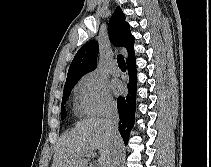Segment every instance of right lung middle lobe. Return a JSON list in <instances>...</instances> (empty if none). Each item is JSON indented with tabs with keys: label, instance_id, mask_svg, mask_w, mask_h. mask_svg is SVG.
Returning <instances> with one entry per match:
<instances>
[{
	"label": "right lung middle lobe",
	"instance_id": "obj_1",
	"mask_svg": "<svg viewBox=\"0 0 211 167\" xmlns=\"http://www.w3.org/2000/svg\"><path fill=\"white\" fill-rule=\"evenodd\" d=\"M77 81H78V79L71 80V81H68L65 83L62 104L66 103V100L68 99L69 94H70L72 88L74 87V85L77 83ZM65 117H66V109H65L64 105H61V120L65 119Z\"/></svg>",
	"mask_w": 211,
	"mask_h": 167
}]
</instances>
